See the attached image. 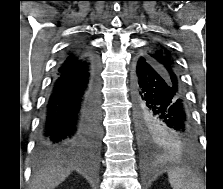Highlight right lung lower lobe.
<instances>
[{
    "label": "right lung lower lobe",
    "mask_w": 223,
    "mask_h": 189,
    "mask_svg": "<svg viewBox=\"0 0 223 189\" xmlns=\"http://www.w3.org/2000/svg\"><path fill=\"white\" fill-rule=\"evenodd\" d=\"M62 59L48 90L37 149L42 153H57L66 148L83 147L95 155L101 131L97 60L92 57L86 70L69 75L58 72Z\"/></svg>",
    "instance_id": "1"
}]
</instances>
